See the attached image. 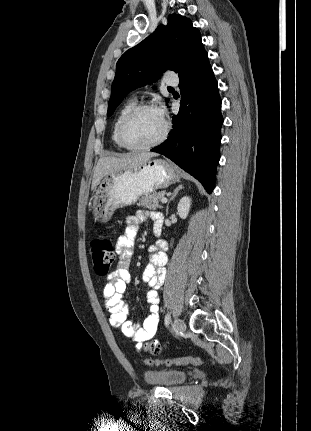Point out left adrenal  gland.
Returning a JSON list of instances; mask_svg holds the SVG:
<instances>
[{
    "mask_svg": "<svg viewBox=\"0 0 311 431\" xmlns=\"http://www.w3.org/2000/svg\"><path fill=\"white\" fill-rule=\"evenodd\" d=\"M179 190H183V186H178V188H175V190H173V194H172V196H171V198H170V200L166 206V216H168L169 204H170V202H172V200H174L175 196H177Z\"/></svg>",
    "mask_w": 311,
    "mask_h": 431,
    "instance_id": "1",
    "label": "left adrenal gland"
}]
</instances>
